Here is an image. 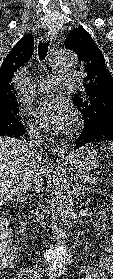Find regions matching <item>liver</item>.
I'll use <instances>...</instances> for the list:
<instances>
[{
	"mask_svg": "<svg viewBox=\"0 0 113 279\" xmlns=\"http://www.w3.org/2000/svg\"><path fill=\"white\" fill-rule=\"evenodd\" d=\"M39 163L27 142L0 136V206L28 191Z\"/></svg>",
	"mask_w": 113,
	"mask_h": 279,
	"instance_id": "liver-1",
	"label": "liver"
}]
</instances>
